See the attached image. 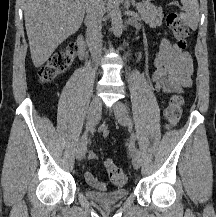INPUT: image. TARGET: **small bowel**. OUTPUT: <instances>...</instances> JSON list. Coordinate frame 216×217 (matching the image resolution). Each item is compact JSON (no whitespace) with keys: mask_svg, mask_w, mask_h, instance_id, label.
<instances>
[{"mask_svg":"<svg viewBox=\"0 0 216 217\" xmlns=\"http://www.w3.org/2000/svg\"><path fill=\"white\" fill-rule=\"evenodd\" d=\"M154 71L152 81L156 92L161 95H169L175 92H183L192 86L193 60L189 52L175 45L168 39H163L159 52L153 61ZM88 158L94 160L95 153L88 152ZM111 160L105 161L108 170ZM86 182L99 190H106L108 183L101 181L91 171L85 173Z\"/></svg>","mask_w":216,"mask_h":217,"instance_id":"c3829d8e","label":"small bowel"}]
</instances>
